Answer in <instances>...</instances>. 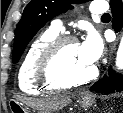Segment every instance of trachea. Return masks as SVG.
I'll return each instance as SVG.
<instances>
[{
    "instance_id": "obj_1",
    "label": "trachea",
    "mask_w": 123,
    "mask_h": 113,
    "mask_svg": "<svg viewBox=\"0 0 123 113\" xmlns=\"http://www.w3.org/2000/svg\"><path fill=\"white\" fill-rule=\"evenodd\" d=\"M102 18H110V14L109 13L103 14Z\"/></svg>"
}]
</instances>
